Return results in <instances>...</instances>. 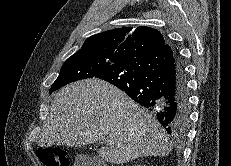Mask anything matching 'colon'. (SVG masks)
<instances>
[{"mask_svg":"<svg viewBox=\"0 0 231 166\" xmlns=\"http://www.w3.org/2000/svg\"><path fill=\"white\" fill-rule=\"evenodd\" d=\"M38 158L44 166H70L69 159L64 150L60 148H47L39 150ZM84 166H105L95 162L84 164Z\"/></svg>","mask_w":231,"mask_h":166,"instance_id":"5ec220e1","label":"colon"}]
</instances>
